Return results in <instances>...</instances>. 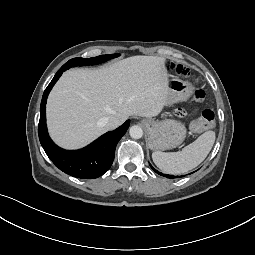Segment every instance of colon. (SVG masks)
Instances as JSON below:
<instances>
[{
  "label": "colon",
  "instance_id": "5ec220e1",
  "mask_svg": "<svg viewBox=\"0 0 255 255\" xmlns=\"http://www.w3.org/2000/svg\"><path fill=\"white\" fill-rule=\"evenodd\" d=\"M171 69H174L177 71V73L184 75V76H189V70L181 65V64H171L170 65ZM195 97L198 100H201L204 98V92L202 90H198L195 93ZM215 121V114L212 110L206 109L204 110L199 117H197L191 124V128L193 131L200 132L204 131L208 128H211L214 125Z\"/></svg>",
  "mask_w": 255,
  "mask_h": 255
}]
</instances>
